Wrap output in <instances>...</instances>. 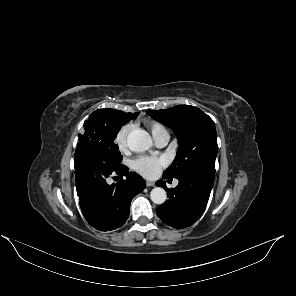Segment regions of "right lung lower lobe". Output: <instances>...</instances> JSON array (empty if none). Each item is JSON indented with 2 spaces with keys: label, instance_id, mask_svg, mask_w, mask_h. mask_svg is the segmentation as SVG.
Returning a JSON list of instances; mask_svg holds the SVG:
<instances>
[{
  "label": "right lung lower lobe",
  "instance_id": "obj_1",
  "mask_svg": "<svg viewBox=\"0 0 296 296\" xmlns=\"http://www.w3.org/2000/svg\"><path fill=\"white\" fill-rule=\"evenodd\" d=\"M74 162L76 190L85 219L99 231L121 227L129 216L133 197L146 186L143 178L123 165L110 168L101 157L81 148H76ZM111 174L121 179L109 185Z\"/></svg>",
  "mask_w": 296,
  "mask_h": 296
}]
</instances>
